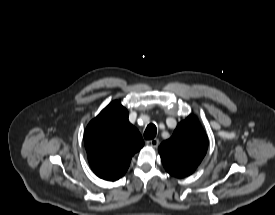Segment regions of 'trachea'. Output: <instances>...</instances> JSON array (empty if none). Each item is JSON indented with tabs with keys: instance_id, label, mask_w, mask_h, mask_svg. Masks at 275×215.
<instances>
[{
	"instance_id": "trachea-1",
	"label": "trachea",
	"mask_w": 275,
	"mask_h": 215,
	"mask_svg": "<svg viewBox=\"0 0 275 215\" xmlns=\"http://www.w3.org/2000/svg\"><path fill=\"white\" fill-rule=\"evenodd\" d=\"M157 128L154 124H149L144 132V137L147 140L153 139L156 136Z\"/></svg>"
}]
</instances>
